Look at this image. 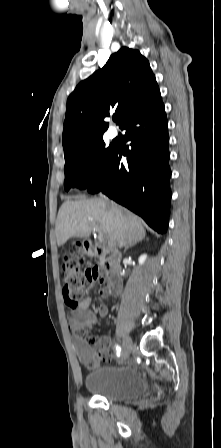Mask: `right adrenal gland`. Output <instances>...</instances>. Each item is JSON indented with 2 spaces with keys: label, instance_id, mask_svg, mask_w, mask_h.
<instances>
[{
  "label": "right adrenal gland",
  "instance_id": "1",
  "mask_svg": "<svg viewBox=\"0 0 221 448\" xmlns=\"http://www.w3.org/2000/svg\"><path fill=\"white\" fill-rule=\"evenodd\" d=\"M134 244H129L128 246L125 247L124 251H127L130 247H132Z\"/></svg>",
  "mask_w": 221,
  "mask_h": 448
}]
</instances>
